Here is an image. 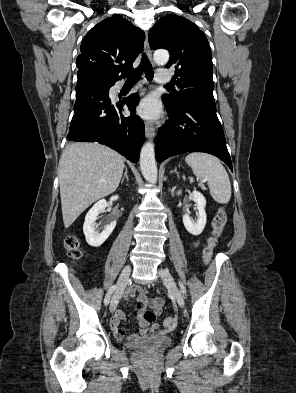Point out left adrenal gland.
Listing matches in <instances>:
<instances>
[{
    "label": "left adrenal gland",
    "mask_w": 296,
    "mask_h": 393,
    "mask_svg": "<svg viewBox=\"0 0 296 393\" xmlns=\"http://www.w3.org/2000/svg\"><path fill=\"white\" fill-rule=\"evenodd\" d=\"M170 173H176L177 177H179V173L177 172V168H175L173 171H171Z\"/></svg>",
    "instance_id": "left-adrenal-gland-1"
}]
</instances>
